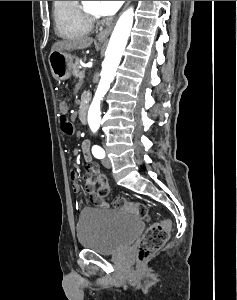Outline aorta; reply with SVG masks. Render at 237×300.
Returning <instances> with one entry per match:
<instances>
[{
	"instance_id": "762f6f07",
	"label": "aorta",
	"mask_w": 237,
	"mask_h": 300,
	"mask_svg": "<svg viewBox=\"0 0 237 300\" xmlns=\"http://www.w3.org/2000/svg\"><path fill=\"white\" fill-rule=\"evenodd\" d=\"M133 19L134 11L133 9H128V11H125V13L119 17L114 27L107 47L105 61H103L102 65L100 83L88 111L87 119L91 131H97L100 127L101 101L115 77V73L127 45L128 37H130Z\"/></svg>"
}]
</instances>
